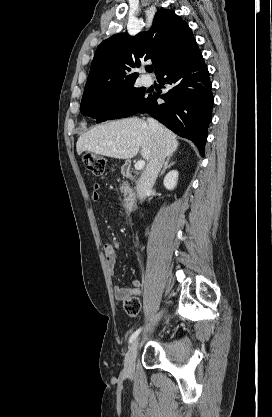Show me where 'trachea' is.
I'll list each match as a JSON object with an SVG mask.
<instances>
[{
	"mask_svg": "<svg viewBox=\"0 0 272 417\" xmlns=\"http://www.w3.org/2000/svg\"><path fill=\"white\" fill-rule=\"evenodd\" d=\"M146 70H147L148 72H153L154 67H153V66H149V67H147V68H146Z\"/></svg>",
	"mask_w": 272,
	"mask_h": 417,
	"instance_id": "trachea-1",
	"label": "trachea"
}]
</instances>
